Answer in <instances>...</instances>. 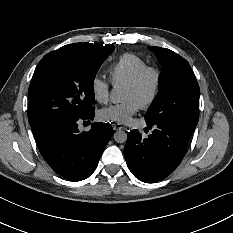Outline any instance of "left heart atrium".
Wrapping results in <instances>:
<instances>
[{"label": "left heart atrium", "mask_w": 233, "mask_h": 233, "mask_svg": "<svg viewBox=\"0 0 233 233\" xmlns=\"http://www.w3.org/2000/svg\"><path fill=\"white\" fill-rule=\"evenodd\" d=\"M142 107L136 99L130 98L121 104L113 105L99 111L101 120H110L118 123H127Z\"/></svg>", "instance_id": "39dd6f15"}]
</instances>
